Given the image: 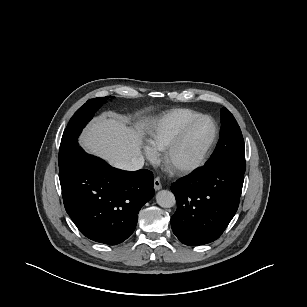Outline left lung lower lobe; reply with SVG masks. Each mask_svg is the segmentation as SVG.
Returning a JSON list of instances; mask_svg holds the SVG:
<instances>
[{"label": "left lung lower lobe", "instance_id": "obj_1", "mask_svg": "<svg viewBox=\"0 0 307 307\" xmlns=\"http://www.w3.org/2000/svg\"><path fill=\"white\" fill-rule=\"evenodd\" d=\"M244 173L225 165L195 170L171 185L177 210L171 227L177 238L189 246L213 242L235 215Z\"/></svg>", "mask_w": 307, "mask_h": 307}]
</instances>
